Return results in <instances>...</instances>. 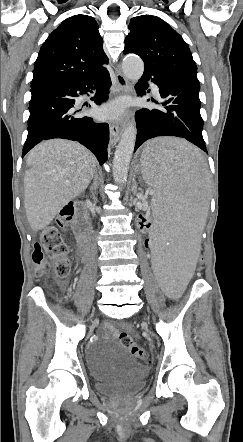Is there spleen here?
I'll list each match as a JSON object with an SVG mask.
<instances>
[{
    "label": "spleen",
    "instance_id": "spleen-1",
    "mask_svg": "<svg viewBox=\"0 0 243 442\" xmlns=\"http://www.w3.org/2000/svg\"><path fill=\"white\" fill-rule=\"evenodd\" d=\"M137 178L151 184L154 233L149 248L153 274L165 296H182L199 253L208 192L202 152L185 140L155 139L140 153Z\"/></svg>",
    "mask_w": 243,
    "mask_h": 442
}]
</instances>
